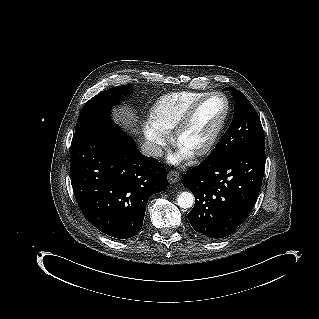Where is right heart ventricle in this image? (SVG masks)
<instances>
[{"mask_svg":"<svg viewBox=\"0 0 319 319\" xmlns=\"http://www.w3.org/2000/svg\"><path fill=\"white\" fill-rule=\"evenodd\" d=\"M205 93L179 91L162 96L151 109L150 119L164 131H170L184 117L188 109Z\"/></svg>","mask_w":319,"mask_h":319,"instance_id":"obj_1","label":"right heart ventricle"}]
</instances>
